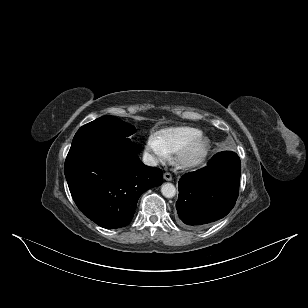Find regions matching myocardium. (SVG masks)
<instances>
[{
    "label": "myocardium",
    "mask_w": 308,
    "mask_h": 308,
    "mask_svg": "<svg viewBox=\"0 0 308 308\" xmlns=\"http://www.w3.org/2000/svg\"><path fill=\"white\" fill-rule=\"evenodd\" d=\"M210 147V139L200 133L176 152V161L182 168L197 166L207 157Z\"/></svg>",
    "instance_id": "obj_1"
}]
</instances>
